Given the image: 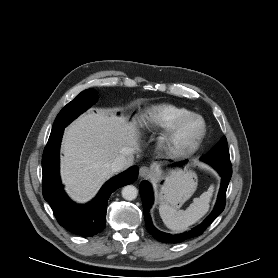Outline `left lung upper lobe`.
I'll return each mask as SVG.
<instances>
[{
  "label": "left lung upper lobe",
  "instance_id": "1",
  "mask_svg": "<svg viewBox=\"0 0 278 278\" xmlns=\"http://www.w3.org/2000/svg\"><path fill=\"white\" fill-rule=\"evenodd\" d=\"M201 160L210 164L231 167L226 138L222 137L220 142L216 144L215 147H213L206 155L201 157Z\"/></svg>",
  "mask_w": 278,
  "mask_h": 278
}]
</instances>
